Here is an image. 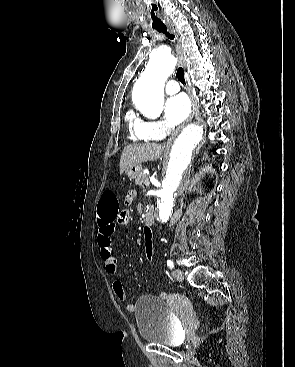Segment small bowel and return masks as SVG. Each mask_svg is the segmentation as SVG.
Masks as SVG:
<instances>
[{
    "label": "small bowel",
    "instance_id": "1",
    "mask_svg": "<svg viewBox=\"0 0 295 367\" xmlns=\"http://www.w3.org/2000/svg\"><path fill=\"white\" fill-rule=\"evenodd\" d=\"M134 192L130 191L126 198H130V203L133 201ZM129 214L128 208H121L118 213V222L120 226L128 225V217ZM116 228L115 220L109 221H101L98 219V232H97V243L100 250V256L103 260L105 270L107 273L115 274L117 272V262L114 257L111 237L114 234ZM112 289L120 301H125L127 299V294L123 285V282L120 279H114L112 282ZM126 309L128 311H134L135 306L132 303H127Z\"/></svg>",
    "mask_w": 295,
    "mask_h": 367
}]
</instances>
